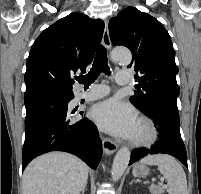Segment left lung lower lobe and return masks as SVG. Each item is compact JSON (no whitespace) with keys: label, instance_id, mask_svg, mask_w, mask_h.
<instances>
[{"label":"left lung lower lobe","instance_id":"1","mask_svg":"<svg viewBox=\"0 0 201 194\" xmlns=\"http://www.w3.org/2000/svg\"><path fill=\"white\" fill-rule=\"evenodd\" d=\"M155 123L160 140L150 150L136 149L131 153L129 165L148 154H169L187 165L186 149L179 129V112L177 105L160 102L145 113Z\"/></svg>","mask_w":201,"mask_h":194}]
</instances>
